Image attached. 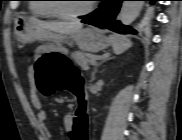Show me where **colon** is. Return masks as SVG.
Masks as SVG:
<instances>
[{"label":"colon","mask_w":182,"mask_h":140,"mask_svg":"<svg viewBox=\"0 0 182 140\" xmlns=\"http://www.w3.org/2000/svg\"><path fill=\"white\" fill-rule=\"evenodd\" d=\"M33 73L38 90L45 96L56 91H68L76 97L71 116L70 140H89V102L84 82L72 61L59 55L41 56L36 60Z\"/></svg>","instance_id":"5ec220e1"}]
</instances>
